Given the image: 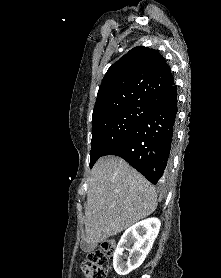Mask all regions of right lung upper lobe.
I'll use <instances>...</instances> for the list:
<instances>
[{
  "label": "right lung upper lobe",
  "mask_w": 221,
  "mask_h": 278,
  "mask_svg": "<svg viewBox=\"0 0 221 278\" xmlns=\"http://www.w3.org/2000/svg\"><path fill=\"white\" fill-rule=\"evenodd\" d=\"M174 84L170 68L154 49L135 47L115 62L98 90L93 118L148 97Z\"/></svg>",
  "instance_id": "obj_1"
}]
</instances>
